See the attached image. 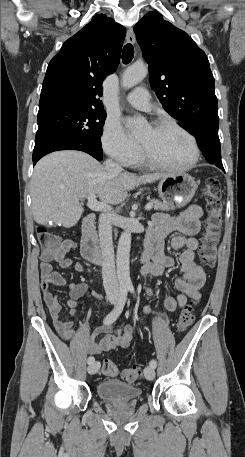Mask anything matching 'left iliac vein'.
I'll return each mask as SVG.
<instances>
[{"label":"left iliac vein","instance_id":"1","mask_svg":"<svg viewBox=\"0 0 245 457\" xmlns=\"http://www.w3.org/2000/svg\"><path fill=\"white\" fill-rule=\"evenodd\" d=\"M144 373H145L146 379L149 381H151L155 378L154 368H152V367H146L144 369Z\"/></svg>","mask_w":245,"mask_h":457}]
</instances>
